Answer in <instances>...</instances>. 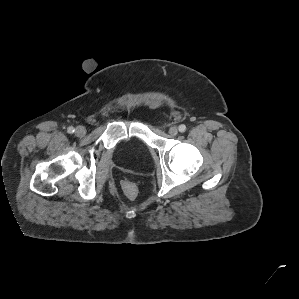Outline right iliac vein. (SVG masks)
<instances>
[{
	"instance_id": "obj_1",
	"label": "right iliac vein",
	"mask_w": 299,
	"mask_h": 299,
	"mask_svg": "<svg viewBox=\"0 0 299 299\" xmlns=\"http://www.w3.org/2000/svg\"><path fill=\"white\" fill-rule=\"evenodd\" d=\"M86 134V128L84 126H78L75 129V135L78 137H83Z\"/></svg>"
}]
</instances>
